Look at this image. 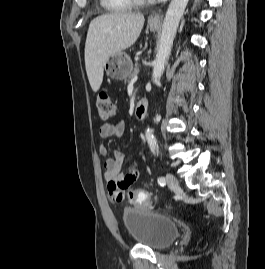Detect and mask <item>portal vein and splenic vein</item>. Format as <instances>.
Returning a JSON list of instances; mask_svg holds the SVG:
<instances>
[{
    "instance_id": "18ae733b",
    "label": "portal vein and splenic vein",
    "mask_w": 265,
    "mask_h": 269,
    "mask_svg": "<svg viewBox=\"0 0 265 269\" xmlns=\"http://www.w3.org/2000/svg\"><path fill=\"white\" fill-rule=\"evenodd\" d=\"M137 79H138L137 76H135L134 78H132L130 84H134L137 81Z\"/></svg>"
}]
</instances>
